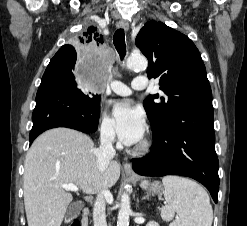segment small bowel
I'll return each mask as SVG.
<instances>
[{"mask_svg":"<svg viewBox=\"0 0 247 226\" xmlns=\"http://www.w3.org/2000/svg\"><path fill=\"white\" fill-rule=\"evenodd\" d=\"M148 226H157V225H155V224H149Z\"/></svg>","mask_w":247,"mask_h":226,"instance_id":"obj_1","label":"small bowel"}]
</instances>
